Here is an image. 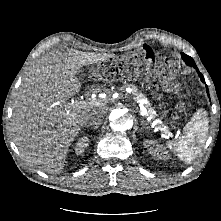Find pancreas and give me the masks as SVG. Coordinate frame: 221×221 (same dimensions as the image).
I'll return each instance as SVG.
<instances>
[{
	"mask_svg": "<svg viewBox=\"0 0 221 221\" xmlns=\"http://www.w3.org/2000/svg\"><path fill=\"white\" fill-rule=\"evenodd\" d=\"M130 87H131V90H132L133 99L136 102H140V101H142V100H144L146 98L144 94H142V93H140L138 91V89H137V87L135 85H130ZM148 112L152 116L155 115V111L152 108H149Z\"/></svg>",
	"mask_w": 221,
	"mask_h": 221,
	"instance_id": "obj_1",
	"label": "pancreas"
}]
</instances>
